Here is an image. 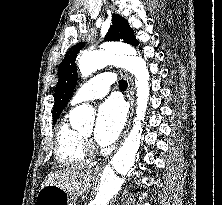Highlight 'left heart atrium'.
Listing matches in <instances>:
<instances>
[{
    "label": "left heart atrium",
    "instance_id": "39dd6f15",
    "mask_svg": "<svg viewBox=\"0 0 222 205\" xmlns=\"http://www.w3.org/2000/svg\"><path fill=\"white\" fill-rule=\"evenodd\" d=\"M126 111L123 103L110 98L98 108L94 130L95 140L100 145H110L119 137L125 123Z\"/></svg>",
    "mask_w": 222,
    "mask_h": 205
}]
</instances>
